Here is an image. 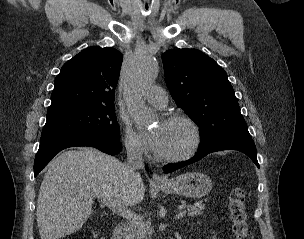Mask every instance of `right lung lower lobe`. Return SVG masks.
I'll list each match as a JSON object with an SVG mask.
<instances>
[{"instance_id": "obj_1", "label": "right lung lower lobe", "mask_w": 304, "mask_h": 239, "mask_svg": "<svg viewBox=\"0 0 304 239\" xmlns=\"http://www.w3.org/2000/svg\"><path fill=\"white\" fill-rule=\"evenodd\" d=\"M74 146H90L110 155H116L121 151L120 141L96 135L59 134L41 137L34 163V176H37L58 152Z\"/></svg>"}]
</instances>
